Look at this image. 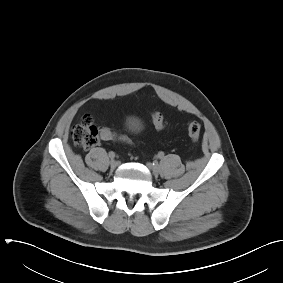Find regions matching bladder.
I'll list each match as a JSON object with an SVG mask.
<instances>
[{"label":"bladder","instance_id":"1","mask_svg":"<svg viewBox=\"0 0 283 283\" xmlns=\"http://www.w3.org/2000/svg\"><path fill=\"white\" fill-rule=\"evenodd\" d=\"M127 127L129 128V130L131 131H137L140 128V123L138 120L136 119H129L127 121Z\"/></svg>","mask_w":283,"mask_h":283}]
</instances>
